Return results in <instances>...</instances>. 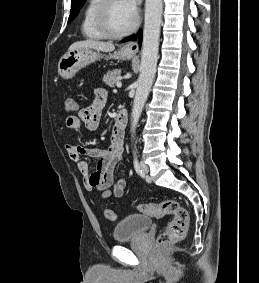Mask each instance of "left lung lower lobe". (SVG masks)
Masks as SVG:
<instances>
[{"label":"left lung lower lobe","mask_w":259,"mask_h":283,"mask_svg":"<svg viewBox=\"0 0 259 283\" xmlns=\"http://www.w3.org/2000/svg\"><path fill=\"white\" fill-rule=\"evenodd\" d=\"M138 38H139V44H141V40H142V33L141 31L138 34ZM137 39V35H132L124 40L121 41V43L127 42V41H134Z\"/></svg>","instance_id":"1"}]
</instances>
